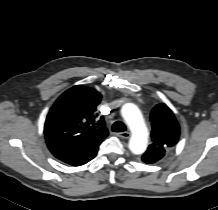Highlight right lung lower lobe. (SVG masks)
Segmentation results:
<instances>
[{
	"label": "right lung lower lobe",
	"instance_id": "right-lung-lower-lobe-1",
	"mask_svg": "<svg viewBox=\"0 0 218 210\" xmlns=\"http://www.w3.org/2000/svg\"><path fill=\"white\" fill-rule=\"evenodd\" d=\"M46 142L49 150L57 159L72 166L86 164L96 156L98 151V147L81 148L57 141Z\"/></svg>",
	"mask_w": 218,
	"mask_h": 210
}]
</instances>
